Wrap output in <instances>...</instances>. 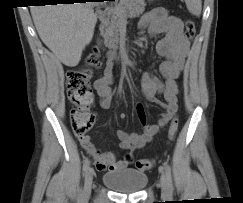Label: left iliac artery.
I'll return each mask as SVG.
<instances>
[{"instance_id":"obj_1","label":"left iliac artery","mask_w":243,"mask_h":203,"mask_svg":"<svg viewBox=\"0 0 243 203\" xmlns=\"http://www.w3.org/2000/svg\"><path fill=\"white\" fill-rule=\"evenodd\" d=\"M164 167H165V171H166V176L168 179V185H169V190H173V184H172V176H171V168L168 165L167 162H164Z\"/></svg>"}]
</instances>
